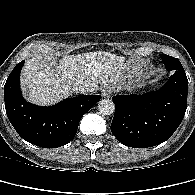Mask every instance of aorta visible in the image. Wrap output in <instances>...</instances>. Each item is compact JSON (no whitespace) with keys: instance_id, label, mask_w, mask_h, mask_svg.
Listing matches in <instances>:
<instances>
[{"instance_id":"obj_1","label":"aorta","mask_w":195,"mask_h":195,"mask_svg":"<svg viewBox=\"0 0 195 195\" xmlns=\"http://www.w3.org/2000/svg\"><path fill=\"white\" fill-rule=\"evenodd\" d=\"M98 110L103 115H111L115 111V104L110 99H102L98 103Z\"/></svg>"}]
</instances>
